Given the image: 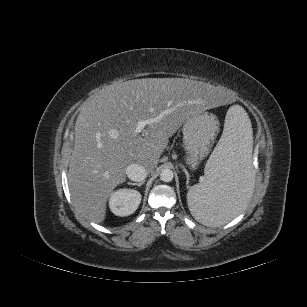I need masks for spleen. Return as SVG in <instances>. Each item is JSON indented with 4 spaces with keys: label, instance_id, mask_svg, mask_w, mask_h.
I'll use <instances>...</instances> for the list:
<instances>
[{
    "label": "spleen",
    "instance_id": "3e777b00",
    "mask_svg": "<svg viewBox=\"0 0 307 307\" xmlns=\"http://www.w3.org/2000/svg\"><path fill=\"white\" fill-rule=\"evenodd\" d=\"M252 128L245 110L229 108L223 134L210 155L199 184L189 188L192 216L208 227H219L237 216L253 194Z\"/></svg>",
    "mask_w": 307,
    "mask_h": 307
}]
</instances>
